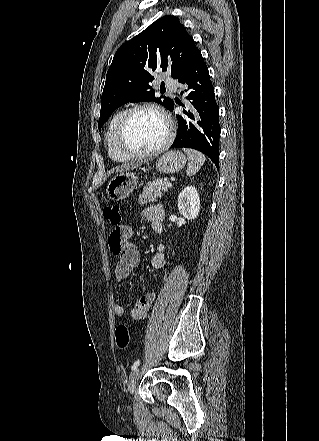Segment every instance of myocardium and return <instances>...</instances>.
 Masks as SVG:
<instances>
[{
	"instance_id": "1",
	"label": "myocardium",
	"mask_w": 319,
	"mask_h": 441,
	"mask_svg": "<svg viewBox=\"0 0 319 441\" xmlns=\"http://www.w3.org/2000/svg\"><path fill=\"white\" fill-rule=\"evenodd\" d=\"M142 110H149L155 112L162 118V120L166 125V137L164 141L158 147L145 152L134 151L128 148L124 143V137H123L125 128L132 115ZM174 136H175V125L170 115L158 105L152 103H142L132 106L131 108L127 109L123 114L116 130V143L120 151L130 158H147V157L156 156L164 152L172 143Z\"/></svg>"
}]
</instances>
